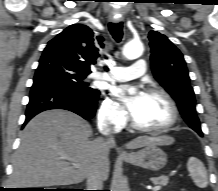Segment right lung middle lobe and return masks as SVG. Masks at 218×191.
<instances>
[{
	"instance_id": "right-lung-middle-lobe-1",
	"label": "right lung middle lobe",
	"mask_w": 218,
	"mask_h": 191,
	"mask_svg": "<svg viewBox=\"0 0 218 191\" xmlns=\"http://www.w3.org/2000/svg\"><path fill=\"white\" fill-rule=\"evenodd\" d=\"M88 74L73 68L60 59L46 56L41 57L34 80L54 79L66 84L75 91L83 92L87 95L98 94V90L89 87L88 83L83 82V79Z\"/></svg>"
}]
</instances>
